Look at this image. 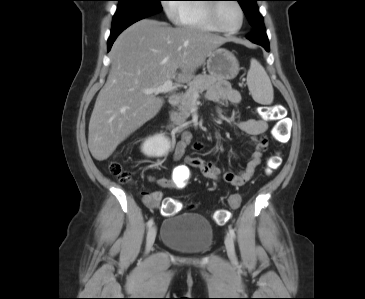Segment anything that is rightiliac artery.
Masks as SVG:
<instances>
[{"label":"right iliac artery","instance_id":"82829eb1","mask_svg":"<svg viewBox=\"0 0 365 299\" xmlns=\"http://www.w3.org/2000/svg\"><path fill=\"white\" fill-rule=\"evenodd\" d=\"M153 225V219L151 218L148 222H147V226L148 228H150Z\"/></svg>","mask_w":365,"mask_h":299}]
</instances>
